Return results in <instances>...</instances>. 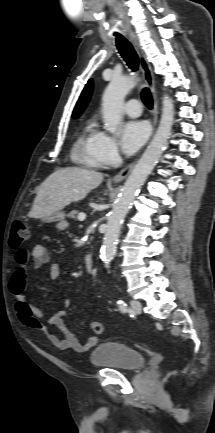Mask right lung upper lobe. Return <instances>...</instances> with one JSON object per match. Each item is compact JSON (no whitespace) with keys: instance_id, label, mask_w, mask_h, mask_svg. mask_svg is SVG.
Returning <instances> with one entry per match:
<instances>
[{"instance_id":"cb5924a9","label":"right lung upper lobe","mask_w":215,"mask_h":433,"mask_svg":"<svg viewBox=\"0 0 215 433\" xmlns=\"http://www.w3.org/2000/svg\"><path fill=\"white\" fill-rule=\"evenodd\" d=\"M92 88H93V84H92V80L90 79L88 81V83L86 84L76 106L75 109L73 111L72 117L73 118H78L79 115L82 113V111L85 109V107L88 104V101L90 99L91 93H92Z\"/></svg>"}]
</instances>
